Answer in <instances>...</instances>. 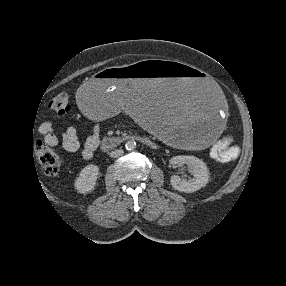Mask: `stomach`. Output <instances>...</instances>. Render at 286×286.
I'll list each match as a JSON object with an SVG mask.
<instances>
[{
    "label": "stomach",
    "mask_w": 286,
    "mask_h": 286,
    "mask_svg": "<svg viewBox=\"0 0 286 286\" xmlns=\"http://www.w3.org/2000/svg\"><path fill=\"white\" fill-rule=\"evenodd\" d=\"M77 104L93 120L110 121L129 112L156 137L181 147L210 142L228 118L219 84L177 61L104 67L83 83Z\"/></svg>",
    "instance_id": "stomach-1"
}]
</instances>
